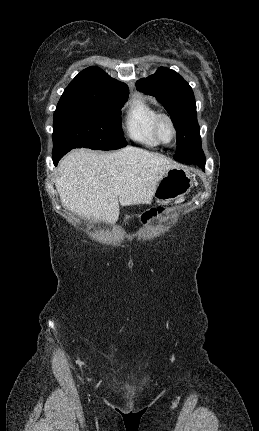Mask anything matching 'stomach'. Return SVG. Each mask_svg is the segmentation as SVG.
Masks as SVG:
<instances>
[{"label": "stomach", "instance_id": "obj_1", "mask_svg": "<svg viewBox=\"0 0 259 431\" xmlns=\"http://www.w3.org/2000/svg\"><path fill=\"white\" fill-rule=\"evenodd\" d=\"M193 175L182 167L171 168L159 181L154 197L159 202H169L182 198L192 188Z\"/></svg>", "mask_w": 259, "mask_h": 431}]
</instances>
